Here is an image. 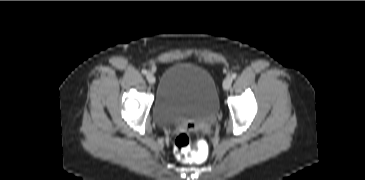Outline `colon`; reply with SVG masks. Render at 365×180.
Listing matches in <instances>:
<instances>
[{
    "label": "colon",
    "instance_id": "1",
    "mask_svg": "<svg viewBox=\"0 0 365 180\" xmlns=\"http://www.w3.org/2000/svg\"><path fill=\"white\" fill-rule=\"evenodd\" d=\"M173 149L178 159L188 164L204 163L209 156L207 143L200 140L193 145L188 132H181L175 137Z\"/></svg>",
    "mask_w": 365,
    "mask_h": 180
}]
</instances>
